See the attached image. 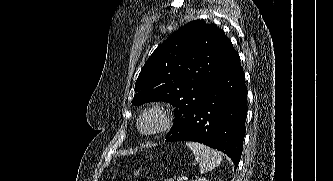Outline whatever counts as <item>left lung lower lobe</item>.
Listing matches in <instances>:
<instances>
[{
  "label": "left lung lower lobe",
  "instance_id": "obj_1",
  "mask_svg": "<svg viewBox=\"0 0 333 181\" xmlns=\"http://www.w3.org/2000/svg\"><path fill=\"white\" fill-rule=\"evenodd\" d=\"M247 88L238 56L207 87L201 103L174 119L166 141H195L222 151L235 167L242 154Z\"/></svg>",
  "mask_w": 333,
  "mask_h": 181
}]
</instances>
